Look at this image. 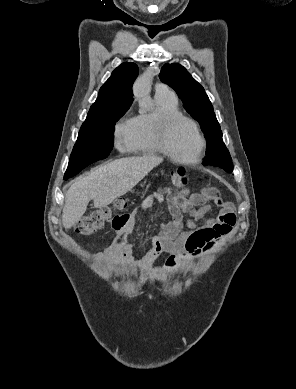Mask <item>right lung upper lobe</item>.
<instances>
[{
    "mask_svg": "<svg viewBox=\"0 0 296 389\" xmlns=\"http://www.w3.org/2000/svg\"><path fill=\"white\" fill-rule=\"evenodd\" d=\"M137 76L138 67L135 63L126 62L117 67L100 88L98 98L91 106L87 118L116 108L129 107L133 101L132 84Z\"/></svg>",
    "mask_w": 296,
    "mask_h": 389,
    "instance_id": "1",
    "label": "right lung upper lobe"
}]
</instances>
